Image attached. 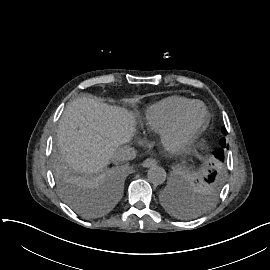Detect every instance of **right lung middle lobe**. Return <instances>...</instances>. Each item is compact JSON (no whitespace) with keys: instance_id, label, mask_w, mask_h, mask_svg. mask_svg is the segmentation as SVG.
<instances>
[{"instance_id":"right-lung-middle-lobe-1","label":"right lung middle lobe","mask_w":270,"mask_h":270,"mask_svg":"<svg viewBox=\"0 0 270 270\" xmlns=\"http://www.w3.org/2000/svg\"><path fill=\"white\" fill-rule=\"evenodd\" d=\"M55 177L61 197L72 209L85 216L95 214V211L88 205L84 195L78 191L76 183L64 169L57 168L55 170Z\"/></svg>"}]
</instances>
